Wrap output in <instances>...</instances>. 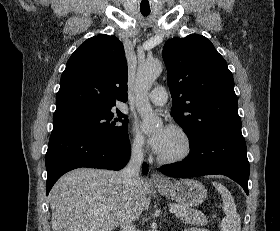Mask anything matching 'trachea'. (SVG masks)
Masks as SVG:
<instances>
[{"label":"trachea","mask_w":280,"mask_h":231,"mask_svg":"<svg viewBox=\"0 0 280 231\" xmlns=\"http://www.w3.org/2000/svg\"><path fill=\"white\" fill-rule=\"evenodd\" d=\"M141 13H142V15L147 16V15H149L150 11L147 12V11L141 10Z\"/></svg>","instance_id":"1"}]
</instances>
